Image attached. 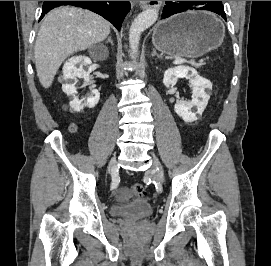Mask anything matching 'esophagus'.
Here are the masks:
<instances>
[{
    "mask_svg": "<svg viewBox=\"0 0 271 266\" xmlns=\"http://www.w3.org/2000/svg\"><path fill=\"white\" fill-rule=\"evenodd\" d=\"M162 1H141L140 6L142 9L159 8Z\"/></svg>",
    "mask_w": 271,
    "mask_h": 266,
    "instance_id": "esophagus-1",
    "label": "esophagus"
}]
</instances>
